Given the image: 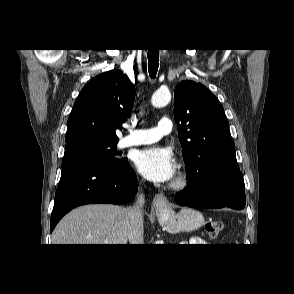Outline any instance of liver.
<instances>
[{
	"instance_id": "6515ba94",
	"label": "liver",
	"mask_w": 294,
	"mask_h": 294,
	"mask_svg": "<svg viewBox=\"0 0 294 294\" xmlns=\"http://www.w3.org/2000/svg\"><path fill=\"white\" fill-rule=\"evenodd\" d=\"M108 243H105V241ZM53 244H117L128 242L127 208L84 205L68 213L52 234Z\"/></svg>"
}]
</instances>
